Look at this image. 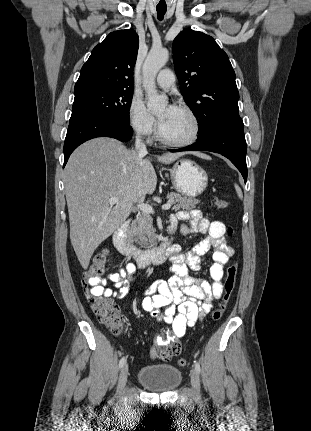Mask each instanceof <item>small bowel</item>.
I'll use <instances>...</instances> for the list:
<instances>
[{
    "instance_id": "1",
    "label": "small bowel",
    "mask_w": 311,
    "mask_h": 431,
    "mask_svg": "<svg viewBox=\"0 0 311 431\" xmlns=\"http://www.w3.org/2000/svg\"><path fill=\"white\" fill-rule=\"evenodd\" d=\"M169 229L173 232L179 230L185 236L205 235L188 252H182L179 245H173L170 256L173 276L167 281L154 282L142 299L143 310L157 322L169 326L166 339L176 340L185 334L188 327L205 317L212 308V301L221 297L224 268L234 250L224 236L225 224L203 217L199 210H182L172 215ZM210 250H213L212 283L190 275V270L200 269L202 256ZM135 271V265L128 263L124 269L107 275V280L116 290L98 285L95 292L105 297H124L128 293V278ZM160 339L159 335L155 337L156 341Z\"/></svg>"
}]
</instances>
